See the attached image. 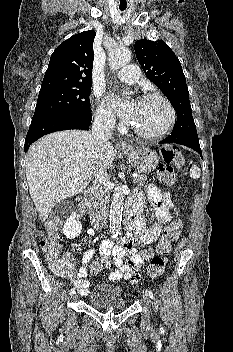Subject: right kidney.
Masks as SVG:
<instances>
[{"label":"right kidney","mask_w":233,"mask_h":352,"mask_svg":"<svg viewBox=\"0 0 233 352\" xmlns=\"http://www.w3.org/2000/svg\"><path fill=\"white\" fill-rule=\"evenodd\" d=\"M82 231V224L80 221L76 220V213H72V215L67 218L64 227L63 234L68 239H74L80 235Z\"/></svg>","instance_id":"ca27d5eb"}]
</instances>
